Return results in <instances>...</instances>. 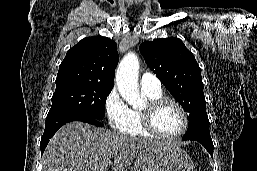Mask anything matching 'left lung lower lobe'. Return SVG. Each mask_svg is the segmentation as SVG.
Instances as JSON below:
<instances>
[{"label":"left lung lower lobe","mask_w":257,"mask_h":171,"mask_svg":"<svg viewBox=\"0 0 257 171\" xmlns=\"http://www.w3.org/2000/svg\"><path fill=\"white\" fill-rule=\"evenodd\" d=\"M183 140H194L201 143L206 148V150L210 153L211 157H213L214 146H213L212 139L190 138V139H183Z\"/></svg>","instance_id":"obj_1"}]
</instances>
